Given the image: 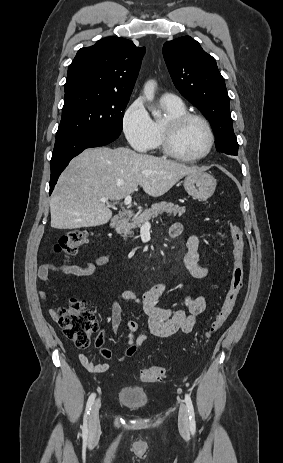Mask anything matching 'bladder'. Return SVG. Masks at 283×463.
Instances as JSON below:
<instances>
[{
	"label": "bladder",
	"mask_w": 283,
	"mask_h": 463,
	"mask_svg": "<svg viewBox=\"0 0 283 463\" xmlns=\"http://www.w3.org/2000/svg\"><path fill=\"white\" fill-rule=\"evenodd\" d=\"M118 402L132 409H143L148 403L147 392L135 386H124L119 390Z\"/></svg>",
	"instance_id": "bladder-1"
}]
</instances>
